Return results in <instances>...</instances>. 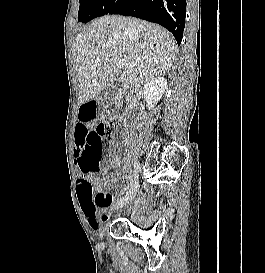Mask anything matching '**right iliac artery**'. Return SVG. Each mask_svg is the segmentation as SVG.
<instances>
[{"instance_id":"right-iliac-artery-1","label":"right iliac artery","mask_w":265,"mask_h":273,"mask_svg":"<svg viewBox=\"0 0 265 273\" xmlns=\"http://www.w3.org/2000/svg\"><path fill=\"white\" fill-rule=\"evenodd\" d=\"M139 170H140V166H139V164L135 161V162H134V174H133V178L131 179L130 184H128V186L124 188V191L122 192V194H123L126 190H128L130 186H132L133 182H134V181L136 180V178L138 177Z\"/></svg>"}]
</instances>
